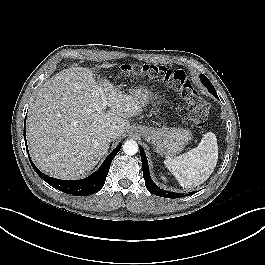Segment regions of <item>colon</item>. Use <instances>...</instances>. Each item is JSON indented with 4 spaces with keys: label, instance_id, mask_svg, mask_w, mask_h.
Wrapping results in <instances>:
<instances>
[{
    "label": "colon",
    "instance_id": "colon-1",
    "mask_svg": "<svg viewBox=\"0 0 265 265\" xmlns=\"http://www.w3.org/2000/svg\"><path fill=\"white\" fill-rule=\"evenodd\" d=\"M121 77L127 80L147 79L163 83L175 91L188 106V119L197 126H205L209 116V105L202 99L190 77L183 70L149 64L122 65Z\"/></svg>",
    "mask_w": 265,
    "mask_h": 265
}]
</instances>
